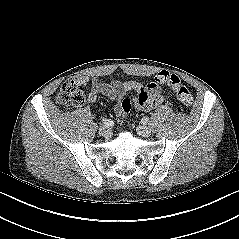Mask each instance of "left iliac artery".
<instances>
[{
	"instance_id": "obj_1",
	"label": "left iliac artery",
	"mask_w": 239,
	"mask_h": 239,
	"mask_svg": "<svg viewBox=\"0 0 239 239\" xmlns=\"http://www.w3.org/2000/svg\"><path fill=\"white\" fill-rule=\"evenodd\" d=\"M141 121H142V123L146 124V123L149 122V118L148 117H143Z\"/></svg>"
}]
</instances>
